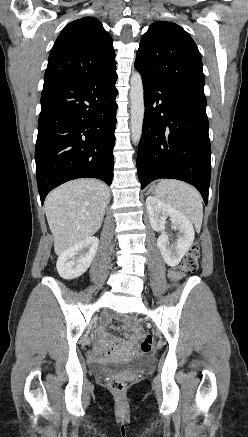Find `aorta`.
<instances>
[{"label": "aorta", "instance_id": "obj_1", "mask_svg": "<svg viewBox=\"0 0 248 437\" xmlns=\"http://www.w3.org/2000/svg\"><path fill=\"white\" fill-rule=\"evenodd\" d=\"M130 108L131 138L137 145L142 136L145 112L142 78L138 72L133 73L130 79Z\"/></svg>", "mask_w": 248, "mask_h": 437}]
</instances>
